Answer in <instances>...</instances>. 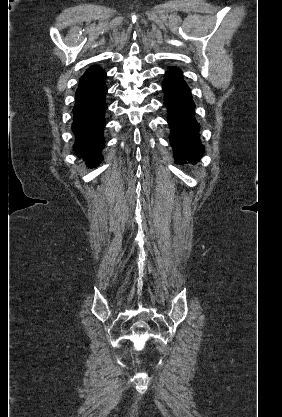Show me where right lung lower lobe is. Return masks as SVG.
Masks as SVG:
<instances>
[{"mask_svg":"<svg viewBox=\"0 0 282 417\" xmlns=\"http://www.w3.org/2000/svg\"><path fill=\"white\" fill-rule=\"evenodd\" d=\"M105 78L106 73L101 67H90L81 77L73 109L72 129L76 137L73 147L78 157L91 167H97L103 160L101 151L105 144L103 130L107 109Z\"/></svg>","mask_w":282,"mask_h":417,"instance_id":"obj_1","label":"right lung lower lobe"}]
</instances>
